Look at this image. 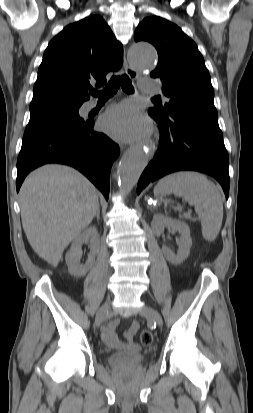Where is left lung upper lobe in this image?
I'll return each instance as SVG.
<instances>
[{"mask_svg": "<svg viewBox=\"0 0 253 413\" xmlns=\"http://www.w3.org/2000/svg\"><path fill=\"white\" fill-rule=\"evenodd\" d=\"M135 41H148L158 52V64L150 73L162 83L169 102L148 110L160 120L179 114L218 118L214 90L197 45L175 24L159 16L145 18L136 28Z\"/></svg>", "mask_w": 253, "mask_h": 413, "instance_id": "5c2ea615", "label": "left lung upper lobe"}]
</instances>
